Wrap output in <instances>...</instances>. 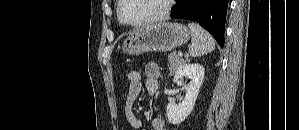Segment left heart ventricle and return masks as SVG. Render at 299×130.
Masks as SVG:
<instances>
[{
    "label": "left heart ventricle",
    "instance_id": "1",
    "mask_svg": "<svg viewBox=\"0 0 299 130\" xmlns=\"http://www.w3.org/2000/svg\"><path fill=\"white\" fill-rule=\"evenodd\" d=\"M165 4V0H126L123 18L130 23L145 21L159 15Z\"/></svg>",
    "mask_w": 299,
    "mask_h": 130
}]
</instances>
